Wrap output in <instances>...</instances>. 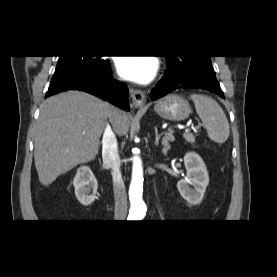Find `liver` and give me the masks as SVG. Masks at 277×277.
I'll return each instance as SVG.
<instances>
[{"instance_id": "liver-1", "label": "liver", "mask_w": 277, "mask_h": 277, "mask_svg": "<svg viewBox=\"0 0 277 277\" xmlns=\"http://www.w3.org/2000/svg\"><path fill=\"white\" fill-rule=\"evenodd\" d=\"M107 118L118 135L127 134V114L95 96L67 91L48 98L40 106L34 142L40 183L48 186L78 164L94 160Z\"/></svg>"}]
</instances>
